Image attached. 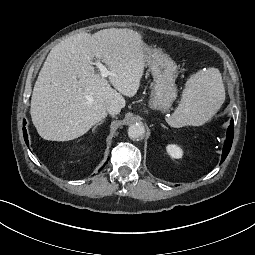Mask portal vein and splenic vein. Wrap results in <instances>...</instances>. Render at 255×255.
<instances>
[{
	"label": "portal vein and splenic vein",
	"instance_id": "1",
	"mask_svg": "<svg viewBox=\"0 0 255 255\" xmlns=\"http://www.w3.org/2000/svg\"><path fill=\"white\" fill-rule=\"evenodd\" d=\"M96 66L99 68L100 70V75L102 78H106L110 75H112L113 73L111 71H109L105 65H103L101 62H97Z\"/></svg>",
	"mask_w": 255,
	"mask_h": 255
}]
</instances>
